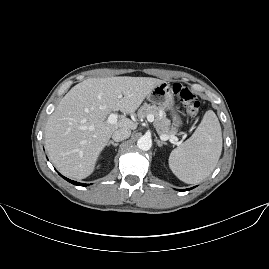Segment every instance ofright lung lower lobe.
I'll return each instance as SVG.
<instances>
[{"label": "right lung lower lobe", "mask_w": 269, "mask_h": 269, "mask_svg": "<svg viewBox=\"0 0 269 269\" xmlns=\"http://www.w3.org/2000/svg\"><path fill=\"white\" fill-rule=\"evenodd\" d=\"M62 176V175H61ZM64 179H66L67 181H69L70 183L74 184V185H78V186H87V184H83V183H79V182H75L72 181L70 179H67L66 177L62 176Z\"/></svg>", "instance_id": "obj_1"}]
</instances>
